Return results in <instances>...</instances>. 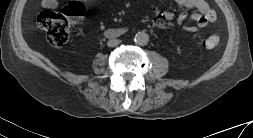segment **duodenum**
Instances as JSON below:
<instances>
[{
	"instance_id": "1",
	"label": "duodenum",
	"mask_w": 253,
	"mask_h": 138,
	"mask_svg": "<svg viewBox=\"0 0 253 138\" xmlns=\"http://www.w3.org/2000/svg\"><path fill=\"white\" fill-rule=\"evenodd\" d=\"M126 32L125 28H112L105 31V34L109 37H119Z\"/></svg>"
}]
</instances>
